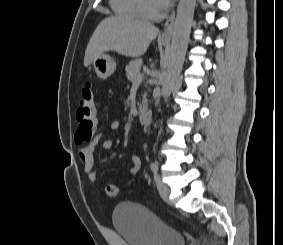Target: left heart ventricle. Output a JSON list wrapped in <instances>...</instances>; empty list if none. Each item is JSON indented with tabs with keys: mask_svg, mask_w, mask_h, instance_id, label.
<instances>
[{
	"mask_svg": "<svg viewBox=\"0 0 283 245\" xmlns=\"http://www.w3.org/2000/svg\"><path fill=\"white\" fill-rule=\"evenodd\" d=\"M144 4L150 11H158L161 9L156 0H144Z\"/></svg>",
	"mask_w": 283,
	"mask_h": 245,
	"instance_id": "left-heart-ventricle-1",
	"label": "left heart ventricle"
}]
</instances>
